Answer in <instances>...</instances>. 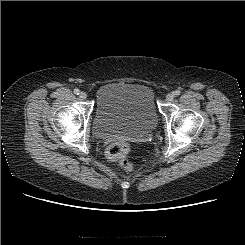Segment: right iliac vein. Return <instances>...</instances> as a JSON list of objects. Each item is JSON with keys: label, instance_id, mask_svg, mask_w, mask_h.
<instances>
[{"label": "right iliac vein", "instance_id": "1", "mask_svg": "<svg viewBox=\"0 0 245 245\" xmlns=\"http://www.w3.org/2000/svg\"><path fill=\"white\" fill-rule=\"evenodd\" d=\"M79 96H80V98L81 99H86L87 98V93L86 92H81L80 94H79Z\"/></svg>", "mask_w": 245, "mask_h": 245}]
</instances>
